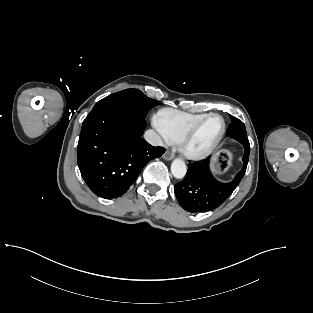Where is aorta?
Returning <instances> with one entry per match:
<instances>
[{
	"label": "aorta",
	"instance_id": "1",
	"mask_svg": "<svg viewBox=\"0 0 313 313\" xmlns=\"http://www.w3.org/2000/svg\"><path fill=\"white\" fill-rule=\"evenodd\" d=\"M187 172L186 164L181 159H175L171 164V173L176 179H182Z\"/></svg>",
	"mask_w": 313,
	"mask_h": 313
}]
</instances>
